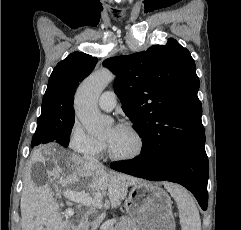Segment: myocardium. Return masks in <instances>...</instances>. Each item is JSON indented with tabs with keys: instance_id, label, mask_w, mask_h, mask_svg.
Listing matches in <instances>:
<instances>
[{
	"instance_id": "myocardium-1",
	"label": "myocardium",
	"mask_w": 241,
	"mask_h": 230,
	"mask_svg": "<svg viewBox=\"0 0 241 230\" xmlns=\"http://www.w3.org/2000/svg\"><path fill=\"white\" fill-rule=\"evenodd\" d=\"M121 126L127 128L135 137L137 142V147L135 151L129 155L119 156L114 154L111 151L109 145L106 142L104 145H105L106 153L111 160L117 161V162H130L139 158L143 154L145 149V141L142 134L131 123L125 122L121 124Z\"/></svg>"
}]
</instances>
